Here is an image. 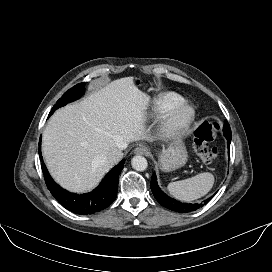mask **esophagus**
I'll list each match as a JSON object with an SVG mask.
<instances>
[{
  "label": "esophagus",
  "mask_w": 272,
  "mask_h": 272,
  "mask_svg": "<svg viewBox=\"0 0 272 272\" xmlns=\"http://www.w3.org/2000/svg\"><path fill=\"white\" fill-rule=\"evenodd\" d=\"M149 148L143 145H140L135 148L134 153L135 154H140V155H147L149 154Z\"/></svg>",
  "instance_id": "1"
}]
</instances>
